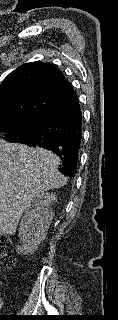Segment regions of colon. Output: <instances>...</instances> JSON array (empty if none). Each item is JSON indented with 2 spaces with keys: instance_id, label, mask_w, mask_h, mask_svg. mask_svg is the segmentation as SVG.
<instances>
[{
  "instance_id": "colon-1",
  "label": "colon",
  "mask_w": 118,
  "mask_h": 320,
  "mask_svg": "<svg viewBox=\"0 0 118 320\" xmlns=\"http://www.w3.org/2000/svg\"><path fill=\"white\" fill-rule=\"evenodd\" d=\"M11 246V239L6 236L0 237V265H10L12 260L8 257L7 251Z\"/></svg>"
}]
</instances>
